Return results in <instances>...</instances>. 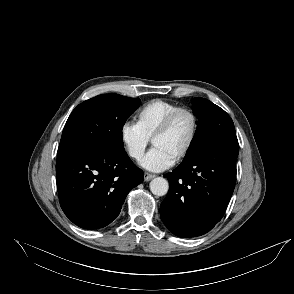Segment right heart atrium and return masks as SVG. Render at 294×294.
I'll return each instance as SVG.
<instances>
[{"instance_id":"d8ad5b80","label":"right heart atrium","mask_w":294,"mask_h":294,"mask_svg":"<svg viewBox=\"0 0 294 294\" xmlns=\"http://www.w3.org/2000/svg\"><path fill=\"white\" fill-rule=\"evenodd\" d=\"M120 141L127 155L140 161L150 143V139L142 132L137 123L127 121L120 128Z\"/></svg>"}]
</instances>
